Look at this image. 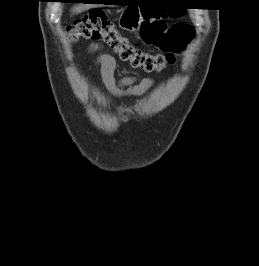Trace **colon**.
Instances as JSON below:
<instances>
[{
  "label": "colon",
  "instance_id": "obj_1",
  "mask_svg": "<svg viewBox=\"0 0 259 266\" xmlns=\"http://www.w3.org/2000/svg\"><path fill=\"white\" fill-rule=\"evenodd\" d=\"M140 34L146 43L158 47L164 53L152 54L134 46L102 10L90 11L77 19L68 29L70 41L103 40L122 60L146 72H159L172 65L175 54L186 48L194 32L186 24L167 27L157 13H150L144 18Z\"/></svg>",
  "mask_w": 259,
  "mask_h": 266
}]
</instances>
